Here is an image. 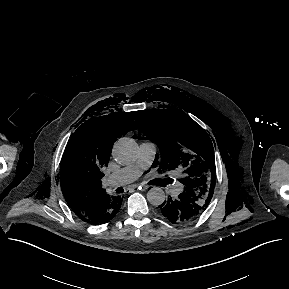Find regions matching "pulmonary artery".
I'll return each mask as SVG.
<instances>
[{"label":"pulmonary artery","mask_w":289,"mask_h":289,"mask_svg":"<svg viewBox=\"0 0 289 289\" xmlns=\"http://www.w3.org/2000/svg\"><path fill=\"white\" fill-rule=\"evenodd\" d=\"M157 152V145L152 141H144L140 144L138 160L126 167L121 168L109 175L106 184L110 187H117L136 180L144 170L152 163ZM179 191L176 186L174 193Z\"/></svg>","instance_id":"1"}]
</instances>
